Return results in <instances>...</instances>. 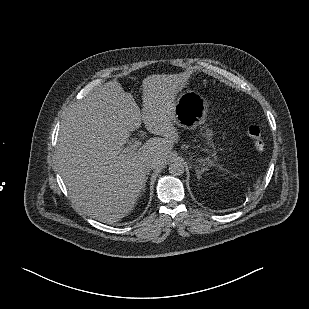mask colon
Masks as SVG:
<instances>
[{
	"label": "colon",
	"mask_w": 309,
	"mask_h": 309,
	"mask_svg": "<svg viewBox=\"0 0 309 309\" xmlns=\"http://www.w3.org/2000/svg\"><path fill=\"white\" fill-rule=\"evenodd\" d=\"M248 137L253 141L254 146L257 150H263L265 143L261 134L260 129L257 126L250 125L247 129Z\"/></svg>",
	"instance_id": "1"
}]
</instances>
